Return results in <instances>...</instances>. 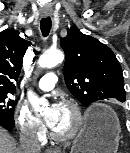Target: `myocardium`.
I'll list each match as a JSON object with an SVG mask.
<instances>
[{
  "label": "myocardium",
  "instance_id": "obj_1",
  "mask_svg": "<svg viewBox=\"0 0 130 153\" xmlns=\"http://www.w3.org/2000/svg\"><path fill=\"white\" fill-rule=\"evenodd\" d=\"M61 105L68 107L72 111L74 115V123L66 133H59L50 127V135L56 141L65 142L72 140L79 133L84 123V115L80 106L73 100L65 99L61 102Z\"/></svg>",
  "mask_w": 130,
  "mask_h": 153
}]
</instances>
